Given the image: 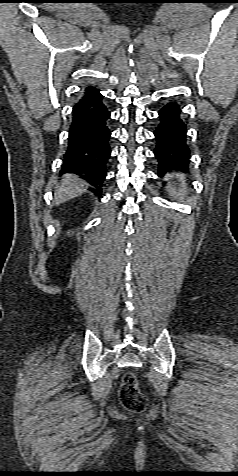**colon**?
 I'll use <instances>...</instances> for the list:
<instances>
[{
    "mask_svg": "<svg viewBox=\"0 0 238 476\" xmlns=\"http://www.w3.org/2000/svg\"><path fill=\"white\" fill-rule=\"evenodd\" d=\"M121 404L133 412H142L147 406V398L138 386V380L134 373L127 372L121 379L119 389Z\"/></svg>",
    "mask_w": 238,
    "mask_h": 476,
    "instance_id": "obj_1",
    "label": "colon"
}]
</instances>
